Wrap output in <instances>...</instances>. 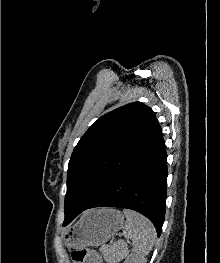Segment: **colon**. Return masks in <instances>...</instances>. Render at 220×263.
<instances>
[{
  "mask_svg": "<svg viewBox=\"0 0 220 263\" xmlns=\"http://www.w3.org/2000/svg\"><path fill=\"white\" fill-rule=\"evenodd\" d=\"M89 260H95L100 263V256L97 252L87 249L79 248L72 252V263H87Z\"/></svg>",
  "mask_w": 220,
  "mask_h": 263,
  "instance_id": "obj_1",
  "label": "colon"
}]
</instances>
